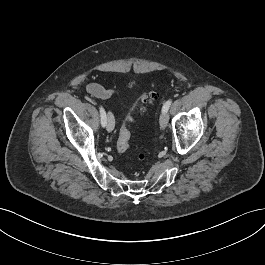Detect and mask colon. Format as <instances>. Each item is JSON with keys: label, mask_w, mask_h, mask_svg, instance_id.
Wrapping results in <instances>:
<instances>
[{"label": "colon", "mask_w": 265, "mask_h": 265, "mask_svg": "<svg viewBox=\"0 0 265 265\" xmlns=\"http://www.w3.org/2000/svg\"><path fill=\"white\" fill-rule=\"evenodd\" d=\"M157 97V94L153 91L146 92L140 97V102L142 103H151L155 98ZM132 121V118L130 114H128L125 118V124L121 127L118 138H117V143H116V148L117 151L120 153H124L128 150L129 148V142H130V131L127 127V124ZM137 159L139 161H144L146 159V154L145 153H139L137 155Z\"/></svg>", "instance_id": "5ec220e1"}]
</instances>
